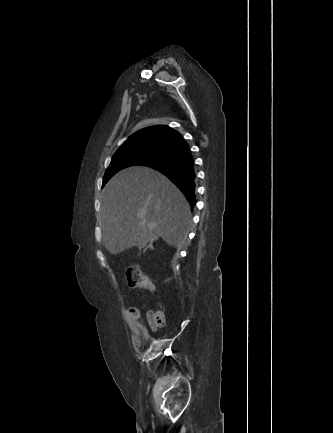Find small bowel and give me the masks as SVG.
<instances>
[{
	"instance_id": "obj_1",
	"label": "small bowel",
	"mask_w": 333,
	"mask_h": 433,
	"mask_svg": "<svg viewBox=\"0 0 333 433\" xmlns=\"http://www.w3.org/2000/svg\"><path fill=\"white\" fill-rule=\"evenodd\" d=\"M126 317L133 339L140 345L147 344L150 340V333L144 324L140 310L136 307H129L126 309ZM148 324L151 331L157 333V326L149 318Z\"/></svg>"
}]
</instances>
